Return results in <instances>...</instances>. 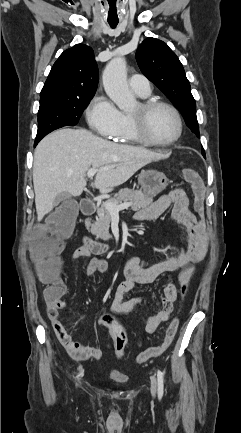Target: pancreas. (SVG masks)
Returning a JSON list of instances; mask_svg holds the SVG:
<instances>
[{
    "instance_id": "1",
    "label": "pancreas",
    "mask_w": 241,
    "mask_h": 433,
    "mask_svg": "<svg viewBox=\"0 0 241 433\" xmlns=\"http://www.w3.org/2000/svg\"><path fill=\"white\" fill-rule=\"evenodd\" d=\"M108 202L120 205L123 202L131 203V209L137 211L141 208H145L153 202V197L147 196L141 190H130L124 189L115 194L114 198L110 199ZM111 222V214L106 209L105 205L97 208L96 220L89 224L90 232L96 237L104 241L112 239L109 233Z\"/></svg>"
}]
</instances>
